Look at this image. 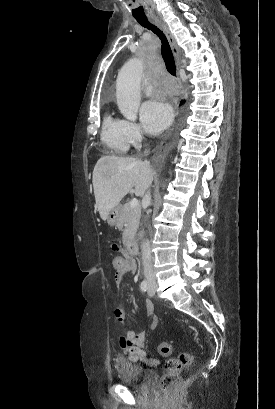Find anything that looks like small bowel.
<instances>
[{
	"label": "small bowel",
	"mask_w": 275,
	"mask_h": 409,
	"mask_svg": "<svg viewBox=\"0 0 275 409\" xmlns=\"http://www.w3.org/2000/svg\"><path fill=\"white\" fill-rule=\"evenodd\" d=\"M123 268L121 269V274L116 273L115 280L117 284L122 282L123 276L128 275L129 273H134L137 270L136 262L131 259H123ZM144 312L146 316L149 317L148 328L153 330L157 327L159 319L154 315V305L151 301H146L144 303ZM115 318L122 322L126 318V311L122 306H117L114 309ZM146 341V333L144 331L139 332H130L127 336L122 334L118 340V345L122 349V353L125 355L127 360H139L140 362L156 366L159 364V361L154 358L146 357L142 347Z\"/></svg>",
	"instance_id": "c3829d8e"
}]
</instances>
